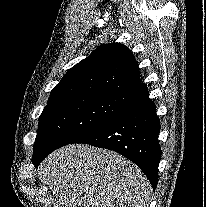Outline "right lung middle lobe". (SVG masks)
<instances>
[{
    "instance_id": "right-lung-middle-lobe-1",
    "label": "right lung middle lobe",
    "mask_w": 206,
    "mask_h": 207,
    "mask_svg": "<svg viewBox=\"0 0 206 207\" xmlns=\"http://www.w3.org/2000/svg\"><path fill=\"white\" fill-rule=\"evenodd\" d=\"M126 95L86 96L48 102L34 143V156L76 143L122 112Z\"/></svg>"
}]
</instances>
